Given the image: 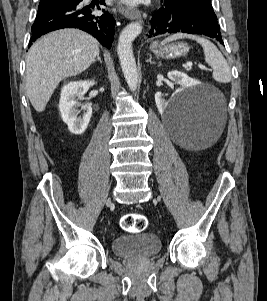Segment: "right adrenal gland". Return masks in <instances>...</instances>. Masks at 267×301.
<instances>
[{
    "instance_id": "right-adrenal-gland-1",
    "label": "right adrenal gland",
    "mask_w": 267,
    "mask_h": 301,
    "mask_svg": "<svg viewBox=\"0 0 267 301\" xmlns=\"http://www.w3.org/2000/svg\"><path fill=\"white\" fill-rule=\"evenodd\" d=\"M96 61H99L100 63H102V60L100 58V52H98L97 59L93 63H95Z\"/></svg>"
}]
</instances>
